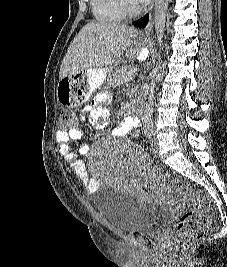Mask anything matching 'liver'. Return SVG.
<instances>
[{"label":"liver","mask_w":227,"mask_h":267,"mask_svg":"<svg viewBox=\"0 0 227 267\" xmlns=\"http://www.w3.org/2000/svg\"><path fill=\"white\" fill-rule=\"evenodd\" d=\"M138 32L120 23L90 22L70 45L60 67L59 79L81 70L102 68L122 61Z\"/></svg>","instance_id":"1"}]
</instances>
